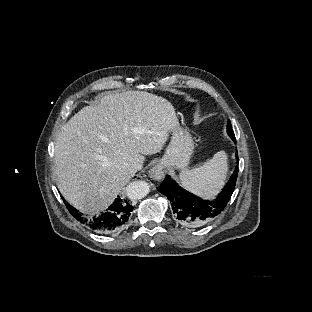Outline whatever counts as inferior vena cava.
<instances>
[{
    "instance_id": "inferior-vena-cava-1",
    "label": "inferior vena cava",
    "mask_w": 312,
    "mask_h": 312,
    "mask_svg": "<svg viewBox=\"0 0 312 312\" xmlns=\"http://www.w3.org/2000/svg\"><path fill=\"white\" fill-rule=\"evenodd\" d=\"M143 162L141 160L134 161L129 167V173L134 175L137 171L141 170Z\"/></svg>"
}]
</instances>
